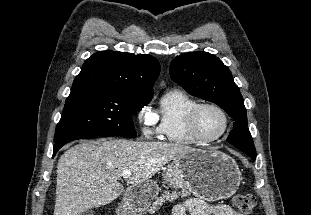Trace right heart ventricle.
<instances>
[{
    "mask_svg": "<svg viewBox=\"0 0 311 215\" xmlns=\"http://www.w3.org/2000/svg\"><path fill=\"white\" fill-rule=\"evenodd\" d=\"M197 101L181 90L167 91L161 98L156 118L159 121L160 135L177 144H196L186 128V116Z\"/></svg>",
    "mask_w": 311,
    "mask_h": 215,
    "instance_id": "obj_1",
    "label": "right heart ventricle"
}]
</instances>
